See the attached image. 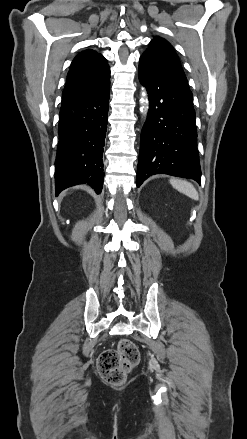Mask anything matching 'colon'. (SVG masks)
Listing matches in <instances>:
<instances>
[{
	"label": "colon",
	"mask_w": 247,
	"mask_h": 439,
	"mask_svg": "<svg viewBox=\"0 0 247 439\" xmlns=\"http://www.w3.org/2000/svg\"><path fill=\"white\" fill-rule=\"evenodd\" d=\"M139 360L136 345L128 339H122L116 349H107L101 353L98 372L105 382L115 386L122 385Z\"/></svg>",
	"instance_id": "colon-1"
}]
</instances>
